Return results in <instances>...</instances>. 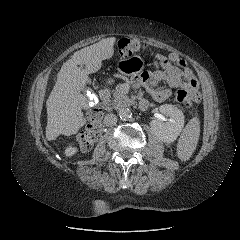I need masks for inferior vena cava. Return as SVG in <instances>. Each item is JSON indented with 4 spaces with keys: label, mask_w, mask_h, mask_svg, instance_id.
<instances>
[{
    "label": "inferior vena cava",
    "mask_w": 240,
    "mask_h": 240,
    "mask_svg": "<svg viewBox=\"0 0 240 240\" xmlns=\"http://www.w3.org/2000/svg\"><path fill=\"white\" fill-rule=\"evenodd\" d=\"M104 125L114 126L117 123V116L114 114H107L103 120Z\"/></svg>",
    "instance_id": "obj_1"
}]
</instances>
